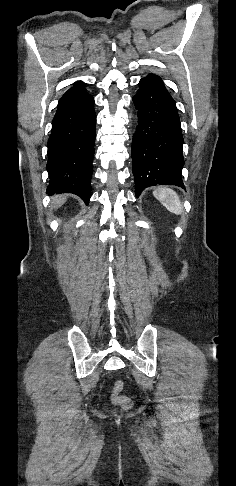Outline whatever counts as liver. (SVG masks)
I'll return each instance as SVG.
<instances>
[{
  "label": "liver",
  "mask_w": 236,
  "mask_h": 486,
  "mask_svg": "<svg viewBox=\"0 0 236 486\" xmlns=\"http://www.w3.org/2000/svg\"><path fill=\"white\" fill-rule=\"evenodd\" d=\"M66 201V196L65 195H60L57 196L53 199L52 203L54 204V208L57 209L61 207Z\"/></svg>",
  "instance_id": "obj_1"
}]
</instances>
